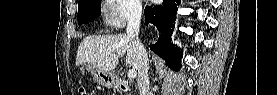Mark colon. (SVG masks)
<instances>
[{"instance_id":"5ec220e1","label":"colon","mask_w":277,"mask_h":95,"mask_svg":"<svg viewBox=\"0 0 277 95\" xmlns=\"http://www.w3.org/2000/svg\"><path fill=\"white\" fill-rule=\"evenodd\" d=\"M81 91H82V92H85V89H84V88H82V89H81Z\"/></svg>"}]
</instances>
